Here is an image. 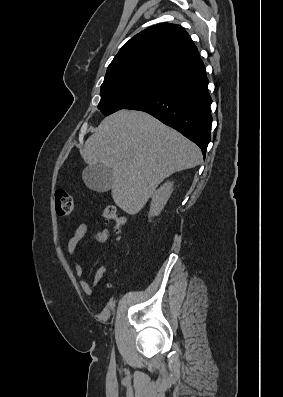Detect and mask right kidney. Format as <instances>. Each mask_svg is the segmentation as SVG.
Instances as JSON below:
<instances>
[{
  "label": "right kidney",
  "instance_id": "right-kidney-1",
  "mask_svg": "<svg viewBox=\"0 0 283 397\" xmlns=\"http://www.w3.org/2000/svg\"><path fill=\"white\" fill-rule=\"evenodd\" d=\"M173 191V182H166L158 190H156L152 195V202L150 206V211L148 217L158 216L164 206L166 205L168 199Z\"/></svg>",
  "mask_w": 283,
  "mask_h": 397
}]
</instances>
